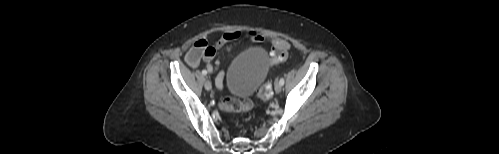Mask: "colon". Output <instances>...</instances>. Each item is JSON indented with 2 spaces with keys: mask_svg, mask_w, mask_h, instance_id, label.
<instances>
[{
  "mask_svg": "<svg viewBox=\"0 0 499 154\" xmlns=\"http://www.w3.org/2000/svg\"><path fill=\"white\" fill-rule=\"evenodd\" d=\"M289 44L282 39L273 41L271 53V62L273 64L284 61L288 56ZM215 50L209 46L205 40L196 41L189 53L188 58L191 62L198 61L203 58L205 60L213 58ZM258 95L262 101H268L272 96V88L269 83H265L258 91ZM219 108L223 112H248L253 108V102L248 99H239L234 97H226L219 102Z\"/></svg>",
  "mask_w": 499,
  "mask_h": 154,
  "instance_id": "1",
  "label": "colon"
}]
</instances>
